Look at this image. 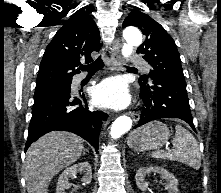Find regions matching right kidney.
Wrapping results in <instances>:
<instances>
[{
    "label": "right kidney",
    "mask_w": 221,
    "mask_h": 193,
    "mask_svg": "<svg viewBox=\"0 0 221 193\" xmlns=\"http://www.w3.org/2000/svg\"><path fill=\"white\" fill-rule=\"evenodd\" d=\"M78 172L84 174L83 184H90L92 180L91 165L88 162H80L69 168H66L59 177L56 193H65V190L71 187L69 178L75 177Z\"/></svg>",
    "instance_id": "obj_1"
}]
</instances>
